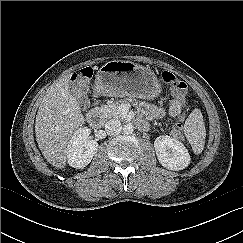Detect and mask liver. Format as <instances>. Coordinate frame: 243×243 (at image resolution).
Here are the masks:
<instances>
[{"label": "liver", "instance_id": "liver-1", "mask_svg": "<svg viewBox=\"0 0 243 243\" xmlns=\"http://www.w3.org/2000/svg\"><path fill=\"white\" fill-rule=\"evenodd\" d=\"M69 75L52 84L43 97L35 120L38 147L55 168L64 169L73 132L85 122L77 99L69 89Z\"/></svg>", "mask_w": 243, "mask_h": 243}]
</instances>
